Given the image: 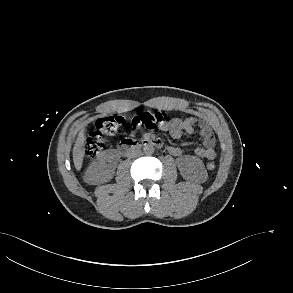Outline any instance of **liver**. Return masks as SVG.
Returning a JSON list of instances; mask_svg holds the SVG:
<instances>
[{
  "label": "liver",
  "instance_id": "liver-1",
  "mask_svg": "<svg viewBox=\"0 0 293 293\" xmlns=\"http://www.w3.org/2000/svg\"><path fill=\"white\" fill-rule=\"evenodd\" d=\"M85 135L84 129H82L76 139L74 148H73V162L76 170H80L82 167V162L85 154Z\"/></svg>",
  "mask_w": 293,
  "mask_h": 293
}]
</instances>
